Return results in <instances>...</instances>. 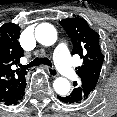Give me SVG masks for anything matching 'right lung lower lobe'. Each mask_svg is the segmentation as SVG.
<instances>
[{"mask_svg":"<svg viewBox=\"0 0 117 117\" xmlns=\"http://www.w3.org/2000/svg\"><path fill=\"white\" fill-rule=\"evenodd\" d=\"M25 87H26V80L22 83L19 84L18 88L16 91L13 93L11 97H9L7 100L3 101L5 105H16L19 103V101L23 98L25 92Z\"/></svg>","mask_w":117,"mask_h":117,"instance_id":"98d812e1","label":"right lung lower lobe"}]
</instances>
